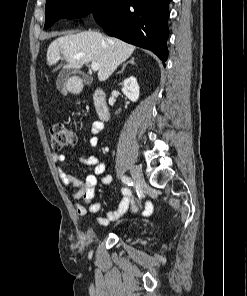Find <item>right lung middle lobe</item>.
Listing matches in <instances>:
<instances>
[{
  "label": "right lung middle lobe",
  "mask_w": 247,
  "mask_h": 296,
  "mask_svg": "<svg viewBox=\"0 0 247 296\" xmlns=\"http://www.w3.org/2000/svg\"><path fill=\"white\" fill-rule=\"evenodd\" d=\"M111 0H47L45 28L62 18L73 19L104 12Z\"/></svg>",
  "instance_id": "obj_1"
}]
</instances>
